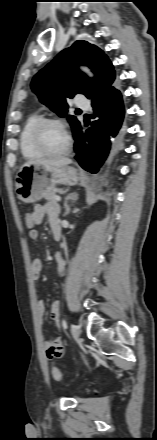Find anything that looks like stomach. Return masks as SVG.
Listing matches in <instances>:
<instances>
[{
	"instance_id": "obj_1",
	"label": "stomach",
	"mask_w": 157,
	"mask_h": 440,
	"mask_svg": "<svg viewBox=\"0 0 157 440\" xmlns=\"http://www.w3.org/2000/svg\"><path fill=\"white\" fill-rule=\"evenodd\" d=\"M79 179L77 169L68 165L51 169L37 164L23 166L15 178L16 194L24 203H35L56 185H76Z\"/></svg>"
}]
</instances>
